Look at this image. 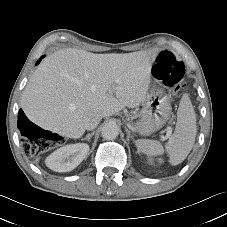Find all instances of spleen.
<instances>
[{"mask_svg":"<svg viewBox=\"0 0 227 227\" xmlns=\"http://www.w3.org/2000/svg\"><path fill=\"white\" fill-rule=\"evenodd\" d=\"M197 133L196 115L190 98L184 94L177 111V123L173 135L165 145V150L172 165L183 162L190 153ZM139 152L149 156H159L164 148L159 141L140 139L135 141Z\"/></svg>","mask_w":227,"mask_h":227,"instance_id":"obj_1","label":"spleen"}]
</instances>
